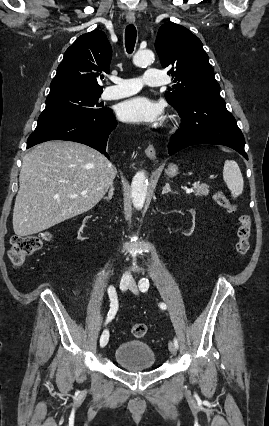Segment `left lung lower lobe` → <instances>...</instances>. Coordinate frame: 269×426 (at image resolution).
<instances>
[{"instance_id": "obj_1", "label": "left lung lower lobe", "mask_w": 269, "mask_h": 426, "mask_svg": "<svg viewBox=\"0 0 269 426\" xmlns=\"http://www.w3.org/2000/svg\"><path fill=\"white\" fill-rule=\"evenodd\" d=\"M176 110L181 126L168 143L170 155L192 145L217 144L233 148L248 160L244 136L219 94L198 95Z\"/></svg>"}]
</instances>
